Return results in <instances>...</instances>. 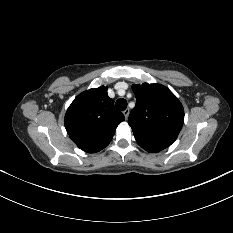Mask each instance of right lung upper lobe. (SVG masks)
I'll list each match as a JSON object with an SVG mask.
<instances>
[{"label": "right lung upper lobe", "instance_id": "obj_1", "mask_svg": "<svg viewBox=\"0 0 233 233\" xmlns=\"http://www.w3.org/2000/svg\"><path fill=\"white\" fill-rule=\"evenodd\" d=\"M124 119L107 95V87L100 86L74 99L65 114V128L80 149L95 153L110 143L117 126Z\"/></svg>", "mask_w": 233, "mask_h": 233}]
</instances>
